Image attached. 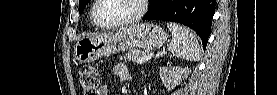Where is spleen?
<instances>
[{
	"label": "spleen",
	"instance_id": "spleen-1",
	"mask_svg": "<svg viewBox=\"0 0 277 95\" xmlns=\"http://www.w3.org/2000/svg\"><path fill=\"white\" fill-rule=\"evenodd\" d=\"M167 27L172 34L169 51L174 56L184 60H200L201 50L196 37L187 28L179 24L170 22Z\"/></svg>",
	"mask_w": 277,
	"mask_h": 95
}]
</instances>
